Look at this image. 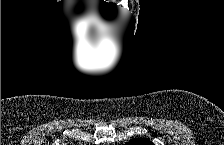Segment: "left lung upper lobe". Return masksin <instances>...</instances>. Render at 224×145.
I'll return each instance as SVG.
<instances>
[{
	"mask_svg": "<svg viewBox=\"0 0 224 145\" xmlns=\"http://www.w3.org/2000/svg\"><path fill=\"white\" fill-rule=\"evenodd\" d=\"M129 145H153V144L148 139H138L129 143Z\"/></svg>",
	"mask_w": 224,
	"mask_h": 145,
	"instance_id": "left-lung-upper-lobe-1",
	"label": "left lung upper lobe"
}]
</instances>
